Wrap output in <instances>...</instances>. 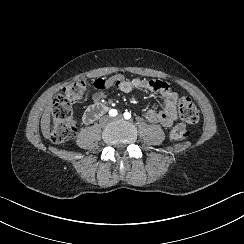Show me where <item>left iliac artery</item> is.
Instances as JSON below:
<instances>
[{"instance_id": "obj_1", "label": "left iliac artery", "mask_w": 244, "mask_h": 244, "mask_svg": "<svg viewBox=\"0 0 244 244\" xmlns=\"http://www.w3.org/2000/svg\"><path fill=\"white\" fill-rule=\"evenodd\" d=\"M123 116H124L125 119H130L131 118V114L129 112H125L123 114Z\"/></svg>"}]
</instances>
